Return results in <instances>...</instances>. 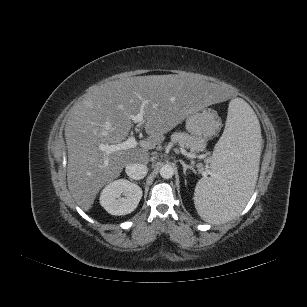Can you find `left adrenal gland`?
<instances>
[{"mask_svg": "<svg viewBox=\"0 0 307 307\" xmlns=\"http://www.w3.org/2000/svg\"><path fill=\"white\" fill-rule=\"evenodd\" d=\"M181 165L183 166V173L186 175L187 170H192L195 172L194 168L190 165H187L184 161L180 160Z\"/></svg>", "mask_w": 307, "mask_h": 307, "instance_id": "left-adrenal-gland-1", "label": "left adrenal gland"}]
</instances>
